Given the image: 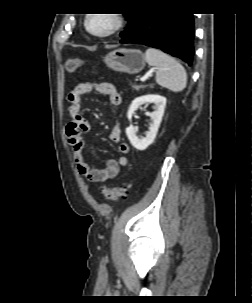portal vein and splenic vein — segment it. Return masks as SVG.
I'll list each match as a JSON object with an SVG mask.
<instances>
[{
	"instance_id": "1",
	"label": "portal vein and splenic vein",
	"mask_w": 252,
	"mask_h": 303,
	"mask_svg": "<svg viewBox=\"0 0 252 303\" xmlns=\"http://www.w3.org/2000/svg\"><path fill=\"white\" fill-rule=\"evenodd\" d=\"M153 70H151L150 72H148L146 75H144L143 77L140 78L141 82L146 81L151 75H152Z\"/></svg>"
}]
</instances>
